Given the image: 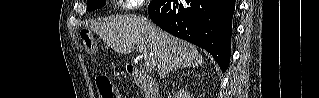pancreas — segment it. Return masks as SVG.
<instances>
[{"label":"pancreas","instance_id":"obj_1","mask_svg":"<svg viewBox=\"0 0 319 98\" xmlns=\"http://www.w3.org/2000/svg\"><path fill=\"white\" fill-rule=\"evenodd\" d=\"M139 89L142 91L144 90V87L142 85H139Z\"/></svg>","mask_w":319,"mask_h":98}]
</instances>
